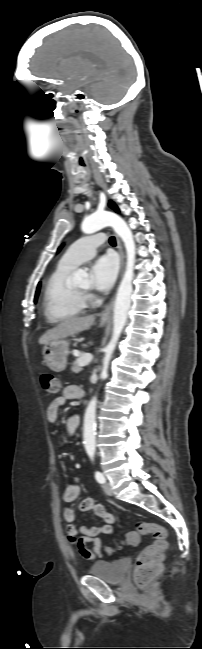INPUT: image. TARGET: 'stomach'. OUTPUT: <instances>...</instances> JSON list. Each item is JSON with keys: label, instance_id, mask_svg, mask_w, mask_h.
<instances>
[{"label": "stomach", "instance_id": "1", "mask_svg": "<svg viewBox=\"0 0 202 649\" xmlns=\"http://www.w3.org/2000/svg\"><path fill=\"white\" fill-rule=\"evenodd\" d=\"M106 319L101 318L100 326L105 325ZM45 364L54 372H61L66 368L69 354V342L64 339L53 340L42 348Z\"/></svg>", "mask_w": 202, "mask_h": 649}]
</instances>
